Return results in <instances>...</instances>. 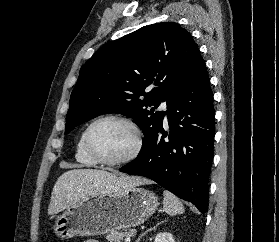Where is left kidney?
Listing matches in <instances>:
<instances>
[{
  "label": "left kidney",
  "mask_w": 279,
  "mask_h": 242,
  "mask_svg": "<svg viewBox=\"0 0 279 242\" xmlns=\"http://www.w3.org/2000/svg\"><path fill=\"white\" fill-rule=\"evenodd\" d=\"M154 242H175V240L171 233L161 232L156 235Z\"/></svg>",
  "instance_id": "obj_1"
}]
</instances>
